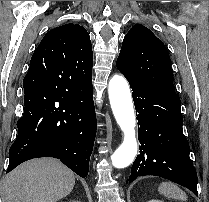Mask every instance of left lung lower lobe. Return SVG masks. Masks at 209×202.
Instances as JSON below:
<instances>
[{
  "instance_id": "1",
  "label": "left lung lower lobe",
  "mask_w": 209,
  "mask_h": 202,
  "mask_svg": "<svg viewBox=\"0 0 209 202\" xmlns=\"http://www.w3.org/2000/svg\"><path fill=\"white\" fill-rule=\"evenodd\" d=\"M127 80L138 112L141 143L140 154L133 163L127 183L138 176L155 175L185 186L198 196V178L182 130L179 96L135 79Z\"/></svg>"
}]
</instances>
